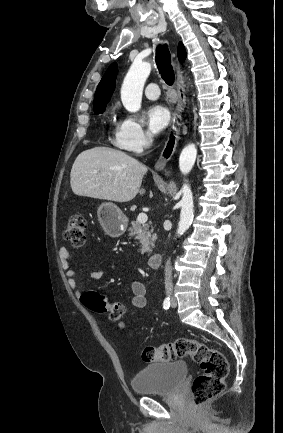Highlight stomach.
<instances>
[{
    "instance_id": "stomach-1",
    "label": "stomach",
    "mask_w": 283,
    "mask_h": 433,
    "mask_svg": "<svg viewBox=\"0 0 283 433\" xmlns=\"http://www.w3.org/2000/svg\"><path fill=\"white\" fill-rule=\"evenodd\" d=\"M98 219L109 237H120L127 229L124 212L114 202H102L98 210Z\"/></svg>"
}]
</instances>
